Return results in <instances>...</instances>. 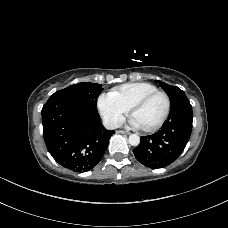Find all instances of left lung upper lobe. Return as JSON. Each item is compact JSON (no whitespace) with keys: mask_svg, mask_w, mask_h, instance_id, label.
Listing matches in <instances>:
<instances>
[{"mask_svg":"<svg viewBox=\"0 0 228 228\" xmlns=\"http://www.w3.org/2000/svg\"><path fill=\"white\" fill-rule=\"evenodd\" d=\"M160 86L168 93L171 100V108L178 107L184 100H187L185 93L176 86L168 85L159 81Z\"/></svg>","mask_w":228,"mask_h":228,"instance_id":"obj_1","label":"left lung upper lobe"}]
</instances>
